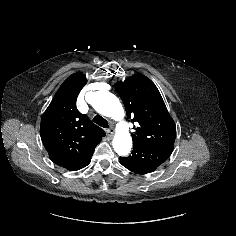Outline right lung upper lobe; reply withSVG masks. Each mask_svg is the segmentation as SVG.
I'll use <instances>...</instances> for the list:
<instances>
[{
  "mask_svg": "<svg viewBox=\"0 0 236 236\" xmlns=\"http://www.w3.org/2000/svg\"><path fill=\"white\" fill-rule=\"evenodd\" d=\"M86 83L85 75L72 74L60 86L42 116V143L57 165L64 166L95 149L105 136V132L76 107L78 94Z\"/></svg>",
  "mask_w": 236,
  "mask_h": 236,
  "instance_id": "cb5924a9",
  "label": "right lung upper lobe"
}]
</instances>
